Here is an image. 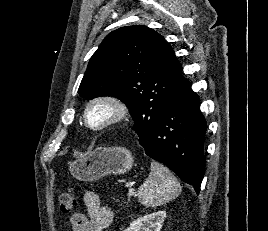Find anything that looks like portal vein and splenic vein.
Masks as SVG:
<instances>
[{
  "mask_svg": "<svg viewBox=\"0 0 268 231\" xmlns=\"http://www.w3.org/2000/svg\"><path fill=\"white\" fill-rule=\"evenodd\" d=\"M128 186V185H127ZM133 190L132 189H129V194H132Z\"/></svg>",
  "mask_w": 268,
  "mask_h": 231,
  "instance_id": "18ae733b",
  "label": "portal vein and splenic vein"
}]
</instances>
